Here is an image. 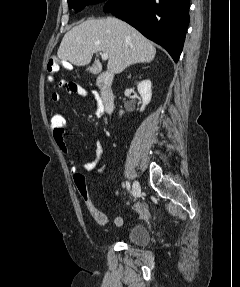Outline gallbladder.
I'll list each match as a JSON object with an SVG mask.
<instances>
[{
  "instance_id": "gallbladder-1",
  "label": "gallbladder",
  "mask_w": 240,
  "mask_h": 287,
  "mask_svg": "<svg viewBox=\"0 0 240 287\" xmlns=\"http://www.w3.org/2000/svg\"><path fill=\"white\" fill-rule=\"evenodd\" d=\"M91 73L97 74L101 71V66L98 63H95L92 67L88 68Z\"/></svg>"
}]
</instances>
